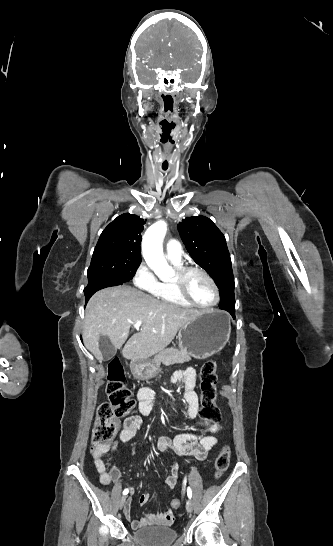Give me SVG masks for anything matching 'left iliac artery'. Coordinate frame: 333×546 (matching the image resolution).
<instances>
[{"label": "left iliac artery", "instance_id": "1", "mask_svg": "<svg viewBox=\"0 0 333 546\" xmlns=\"http://www.w3.org/2000/svg\"><path fill=\"white\" fill-rule=\"evenodd\" d=\"M187 496H188L189 499H191V497H192V490H191L190 487L187 488Z\"/></svg>", "mask_w": 333, "mask_h": 546}]
</instances>
